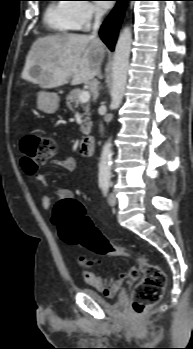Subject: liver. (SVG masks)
I'll list each match as a JSON object with an SVG mask.
<instances>
[{
  "mask_svg": "<svg viewBox=\"0 0 193 349\" xmlns=\"http://www.w3.org/2000/svg\"><path fill=\"white\" fill-rule=\"evenodd\" d=\"M105 46L97 38L83 34L59 33L38 38L26 57L22 79L42 88L86 83L101 77ZM38 74L33 75L32 69Z\"/></svg>",
  "mask_w": 193,
  "mask_h": 349,
  "instance_id": "1",
  "label": "liver"
}]
</instances>
